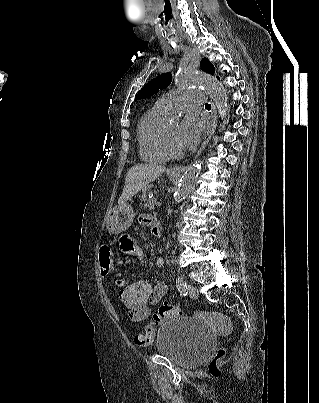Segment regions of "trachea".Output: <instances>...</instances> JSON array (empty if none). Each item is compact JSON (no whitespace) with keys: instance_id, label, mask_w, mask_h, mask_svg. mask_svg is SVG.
<instances>
[{"instance_id":"1","label":"trachea","mask_w":319,"mask_h":403,"mask_svg":"<svg viewBox=\"0 0 319 403\" xmlns=\"http://www.w3.org/2000/svg\"><path fill=\"white\" fill-rule=\"evenodd\" d=\"M205 108L206 109H211V105L207 103V104H205Z\"/></svg>"}]
</instances>
